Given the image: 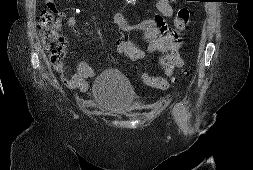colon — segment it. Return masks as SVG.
Masks as SVG:
<instances>
[{"instance_id":"obj_1","label":"colon","mask_w":253,"mask_h":170,"mask_svg":"<svg viewBox=\"0 0 253 170\" xmlns=\"http://www.w3.org/2000/svg\"><path fill=\"white\" fill-rule=\"evenodd\" d=\"M189 10L187 8L179 9L177 13L178 27H183L189 20ZM54 16L48 12L43 11L40 15V30L43 35L45 47L50 60L54 63L60 62L66 55V41L65 38L54 28ZM148 84L157 87L159 84L153 79L148 80Z\"/></svg>"}]
</instances>
